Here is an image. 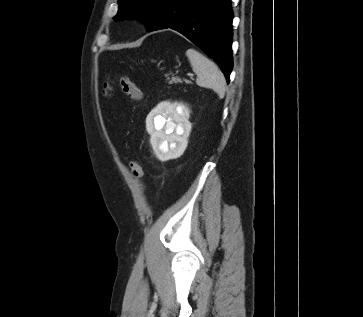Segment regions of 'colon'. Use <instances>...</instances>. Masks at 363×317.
Here are the masks:
<instances>
[{
  "label": "colon",
  "instance_id": "5ec220e1",
  "mask_svg": "<svg viewBox=\"0 0 363 317\" xmlns=\"http://www.w3.org/2000/svg\"><path fill=\"white\" fill-rule=\"evenodd\" d=\"M118 80L123 93L127 96L128 99L132 101H138L141 98V91L132 79H130L128 76L121 75L119 76ZM111 91L112 85L108 81L104 84L103 92L106 96H109L111 94ZM130 169L132 175L136 179H142L144 171L139 161H132L130 164Z\"/></svg>",
  "mask_w": 363,
  "mask_h": 317
}]
</instances>
